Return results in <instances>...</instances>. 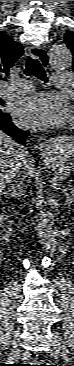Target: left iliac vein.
I'll return each mask as SVG.
<instances>
[{
    "label": "left iliac vein",
    "instance_id": "left-iliac-vein-1",
    "mask_svg": "<svg viewBox=\"0 0 74 366\" xmlns=\"http://www.w3.org/2000/svg\"><path fill=\"white\" fill-rule=\"evenodd\" d=\"M52 334H53L52 343H53L54 349H56L58 352H60L63 359L68 361L69 360L68 350H67L65 343L61 340L60 336L57 333L52 331Z\"/></svg>",
    "mask_w": 74,
    "mask_h": 366
}]
</instances>
